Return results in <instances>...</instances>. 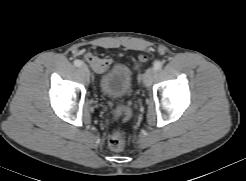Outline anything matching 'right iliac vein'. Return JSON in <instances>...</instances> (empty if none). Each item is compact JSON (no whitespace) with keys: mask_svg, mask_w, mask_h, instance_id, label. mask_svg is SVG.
Masks as SVG:
<instances>
[{"mask_svg":"<svg viewBox=\"0 0 246 181\" xmlns=\"http://www.w3.org/2000/svg\"><path fill=\"white\" fill-rule=\"evenodd\" d=\"M79 69L86 77H89L90 72L86 65H81Z\"/></svg>","mask_w":246,"mask_h":181,"instance_id":"1","label":"right iliac vein"}]
</instances>
